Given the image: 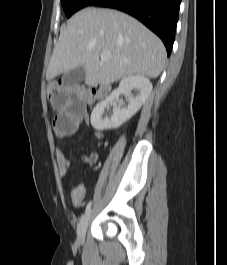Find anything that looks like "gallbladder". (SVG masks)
I'll return each instance as SVG.
<instances>
[{"label":"gallbladder","instance_id":"obj_1","mask_svg":"<svg viewBox=\"0 0 227 265\" xmlns=\"http://www.w3.org/2000/svg\"><path fill=\"white\" fill-rule=\"evenodd\" d=\"M84 78L85 69L83 67H78L65 73L62 77V81L64 84L73 85L80 83Z\"/></svg>","mask_w":227,"mask_h":265}]
</instances>
